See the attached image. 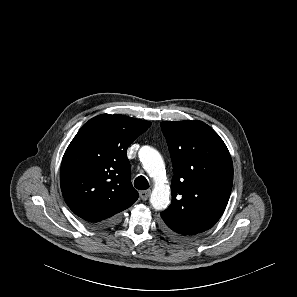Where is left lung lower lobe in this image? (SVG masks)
<instances>
[{
  "label": "left lung lower lobe",
  "instance_id": "1",
  "mask_svg": "<svg viewBox=\"0 0 297 297\" xmlns=\"http://www.w3.org/2000/svg\"><path fill=\"white\" fill-rule=\"evenodd\" d=\"M162 229L165 231L166 234H168L172 238L181 239L177 234H175L172 230H170L168 227H166L163 224H162Z\"/></svg>",
  "mask_w": 297,
  "mask_h": 297
}]
</instances>
